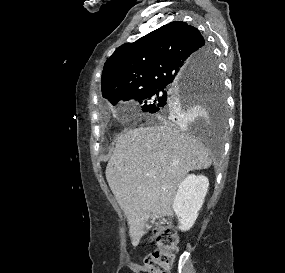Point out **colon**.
<instances>
[{
    "label": "colon",
    "mask_w": 285,
    "mask_h": 273,
    "mask_svg": "<svg viewBox=\"0 0 285 273\" xmlns=\"http://www.w3.org/2000/svg\"><path fill=\"white\" fill-rule=\"evenodd\" d=\"M156 250L146 256L144 265L150 273H169L178 250L179 238L167 226H161L154 238Z\"/></svg>",
    "instance_id": "5ec220e1"
}]
</instances>
